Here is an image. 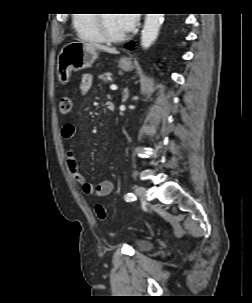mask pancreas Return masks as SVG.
I'll return each instance as SVG.
<instances>
[{
    "label": "pancreas",
    "mask_w": 252,
    "mask_h": 303,
    "mask_svg": "<svg viewBox=\"0 0 252 303\" xmlns=\"http://www.w3.org/2000/svg\"><path fill=\"white\" fill-rule=\"evenodd\" d=\"M111 76V73H103V74H100L99 76H98V78L101 80V81H107L108 80V78Z\"/></svg>",
    "instance_id": "cf45deb5"
}]
</instances>
